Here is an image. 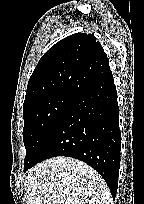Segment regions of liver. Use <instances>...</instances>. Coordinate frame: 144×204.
<instances>
[{
  "mask_svg": "<svg viewBox=\"0 0 144 204\" xmlns=\"http://www.w3.org/2000/svg\"><path fill=\"white\" fill-rule=\"evenodd\" d=\"M27 204H111L102 177L82 161L56 157L33 167L26 176Z\"/></svg>",
  "mask_w": 144,
  "mask_h": 204,
  "instance_id": "1",
  "label": "liver"
}]
</instances>
